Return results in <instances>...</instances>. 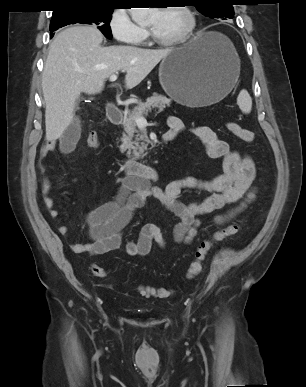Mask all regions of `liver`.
Wrapping results in <instances>:
<instances>
[{
  "mask_svg": "<svg viewBox=\"0 0 306 387\" xmlns=\"http://www.w3.org/2000/svg\"><path fill=\"white\" fill-rule=\"evenodd\" d=\"M102 41L96 27L73 26L61 31L50 44L42 73L47 140L54 143L72 123L80 93H100L106 79L118 71L126 72V89H132L174 50L103 47Z\"/></svg>",
  "mask_w": 306,
  "mask_h": 387,
  "instance_id": "1",
  "label": "liver"
}]
</instances>
